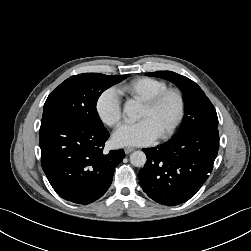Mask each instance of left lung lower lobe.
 I'll return each instance as SVG.
<instances>
[{
  "label": "left lung lower lobe",
  "mask_w": 251,
  "mask_h": 251,
  "mask_svg": "<svg viewBox=\"0 0 251 251\" xmlns=\"http://www.w3.org/2000/svg\"><path fill=\"white\" fill-rule=\"evenodd\" d=\"M218 129H199L146 148L139 184L154 201L178 205L193 197L209 177L218 153Z\"/></svg>",
  "instance_id": "0a47b994"
}]
</instances>
